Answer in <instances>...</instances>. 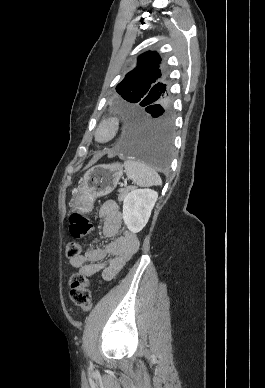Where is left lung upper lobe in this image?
<instances>
[{
  "instance_id": "obj_1",
  "label": "left lung upper lobe",
  "mask_w": 265,
  "mask_h": 388,
  "mask_svg": "<svg viewBox=\"0 0 265 388\" xmlns=\"http://www.w3.org/2000/svg\"><path fill=\"white\" fill-rule=\"evenodd\" d=\"M161 59L156 52L148 51L137 59V67L126 74L116 91L124 99L121 109H144L147 106L170 104L165 76L159 70Z\"/></svg>"
}]
</instances>
